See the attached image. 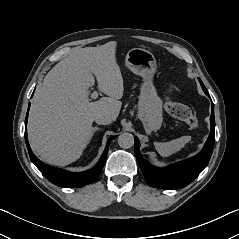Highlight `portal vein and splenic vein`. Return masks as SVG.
<instances>
[{"label": "portal vein and splenic vein", "mask_w": 239, "mask_h": 239, "mask_svg": "<svg viewBox=\"0 0 239 239\" xmlns=\"http://www.w3.org/2000/svg\"><path fill=\"white\" fill-rule=\"evenodd\" d=\"M91 99H96L98 97V93L97 91H94L91 95H90Z\"/></svg>", "instance_id": "portal-vein-and-splenic-vein-1"}]
</instances>
